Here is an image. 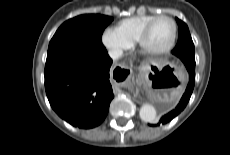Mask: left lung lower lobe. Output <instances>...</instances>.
<instances>
[{
  "instance_id": "1",
  "label": "left lung lower lobe",
  "mask_w": 230,
  "mask_h": 155,
  "mask_svg": "<svg viewBox=\"0 0 230 155\" xmlns=\"http://www.w3.org/2000/svg\"><path fill=\"white\" fill-rule=\"evenodd\" d=\"M182 62L185 64L186 69L189 73V82L186 87L185 93L183 94L178 105L173 110H171L170 112L162 116L159 122L155 124V126H159L161 124L163 125V124L170 122L174 117H176L186 107L191 97V94L194 88V84H195V55H194V60L193 59L191 60L190 57H188L187 55L185 56L182 55Z\"/></svg>"
}]
</instances>
